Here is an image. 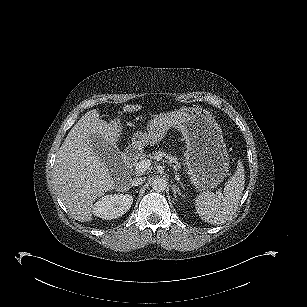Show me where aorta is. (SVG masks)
Wrapping results in <instances>:
<instances>
[{
  "instance_id": "1",
  "label": "aorta",
  "mask_w": 307,
  "mask_h": 307,
  "mask_svg": "<svg viewBox=\"0 0 307 307\" xmlns=\"http://www.w3.org/2000/svg\"><path fill=\"white\" fill-rule=\"evenodd\" d=\"M151 185L154 191L163 192L164 190H166L167 181L163 178L156 177L152 180Z\"/></svg>"
}]
</instances>
